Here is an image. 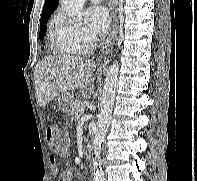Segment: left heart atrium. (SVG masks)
I'll return each instance as SVG.
<instances>
[{"mask_svg":"<svg viewBox=\"0 0 197 181\" xmlns=\"http://www.w3.org/2000/svg\"><path fill=\"white\" fill-rule=\"evenodd\" d=\"M86 20L94 34L103 35L109 28L111 17L104 6H92L86 12Z\"/></svg>","mask_w":197,"mask_h":181,"instance_id":"1","label":"left heart atrium"}]
</instances>
